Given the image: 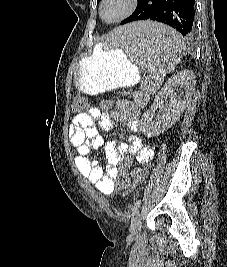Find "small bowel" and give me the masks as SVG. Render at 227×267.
Masks as SVG:
<instances>
[{
  "label": "small bowel",
  "instance_id": "c3829d8e",
  "mask_svg": "<svg viewBox=\"0 0 227 267\" xmlns=\"http://www.w3.org/2000/svg\"><path fill=\"white\" fill-rule=\"evenodd\" d=\"M97 123V124H96ZM114 124L126 125L130 129H139V118L136 110L128 102H122L117 109L102 111L90 108L76 114L69 125V140L76 148L74 163L80 174L90 183L96 185L102 193H112L121 168H127L131 159L146 164L153 157L152 149L137 135L128 137V144H117L113 141L104 143L99 135L100 130H110ZM104 146L105 168L88 157L91 150Z\"/></svg>",
  "mask_w": 227,
  "mask_h": 267
}]
</instances>
